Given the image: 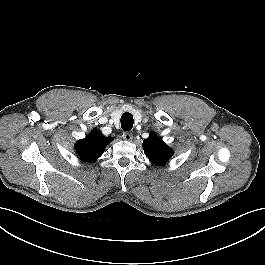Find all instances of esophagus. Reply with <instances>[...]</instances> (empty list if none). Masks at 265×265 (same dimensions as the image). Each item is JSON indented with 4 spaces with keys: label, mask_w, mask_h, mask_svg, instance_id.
Here are the masks:
<instances>
[{
    "label": "esophagus",
    "mask_w": 265,
    "mask_h": 265,
    "mask_svg": "<svg viewBox=\"0 0 265 265\" xmlns=\"http://www.w3.org/2000/svg\"><path fill=\"white\" fill-rule=\"evenodd\" d=\"M123 139L126 140V141H132L133 134L131 132H125L123 134Z\"/></svg>",
    "instance_id": "34e87169"
}]
</instances>
